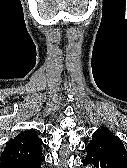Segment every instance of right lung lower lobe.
<instances>
[{
  "label": "right lung lower lobe",
  "mask_w": 127,
  "mask_h": 168,
  "mask_svg": "<svg viewBox=\"0 0 127 168\" xmlns=\"http://www.w3.org/2000/svg\"><path fill=\"white\" fill-rule=\"evenodd\" d=\"M42 159L37 160H9L0 163V168H41Z\"/></svg>",
  "instance_id": "obj_1"
}]
</instances>
